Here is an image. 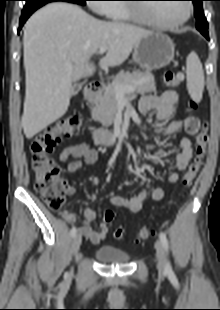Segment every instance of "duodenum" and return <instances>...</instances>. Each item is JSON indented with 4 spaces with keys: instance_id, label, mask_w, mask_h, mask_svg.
<instances>
[{
    "instance_id": "duodenum-1",
    "label": "duodenum",
    "mask_w": 220,
    "mask_h": 310,
    "mask_svg": "<svg viewBox=\"0 0 220 310\" xmlns=\"http://www.w3.org/2000/svg\"><path fill=\"white\" fill-rule=\"evenodd\" d=\"M103 87L104 84L101 81H92L86 90L85 99L91 103L95 102L96 98L103 90ZM93 139L97 144L112 146L118 142L120 135L108 130L100 129L93 133Z\"/></svg>"
}]
</instances>
